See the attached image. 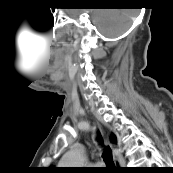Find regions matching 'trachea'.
Returning a JSON list of instances; mask_svg holds the SVG:
<instances>
[{
	"label": "trachea",
	"instance_id": "3493384b",
	"mask_svg": "<svg viewBox=\"0 0 173 173\" xmlns=\"http://www.w3.org/2000/svg\"><path fill=\"white\" fill-rule=\"evenodd\" d=\"M97 139H98V142L103 145V140H102L100 133H98ZM102 156H103V160L107 166L106 169H110V168L115 167L114 162H113V158H112V151L109 147H106L104 149Z\"/></svg>",
	"mask_w": 173,
	"mask_h": 173
}]
</instances>
